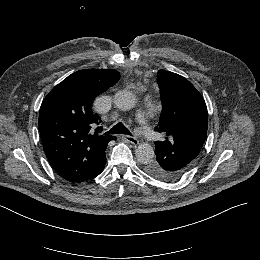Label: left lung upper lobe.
<instances>
[{
    "mask_svg": "<svg viewBox=\"0 0 260 260\" xmlns=\"http://www.w3.org/2000/svg\"><path fill=\"white\" fill-rule=\"evenodd\" d=\"M157 78L163 107L156 131L166 136L155 142L156 160L146 171L173 181L184 175L200 154L207 135V108L201 94L184 77L159 70Z\"/></svg>",
    "mask_w": 260,
    "mask_h": 260,
    "instance_id": "5c2ea615",
    "label": "left lung upper lobe"
}]
</instances>
